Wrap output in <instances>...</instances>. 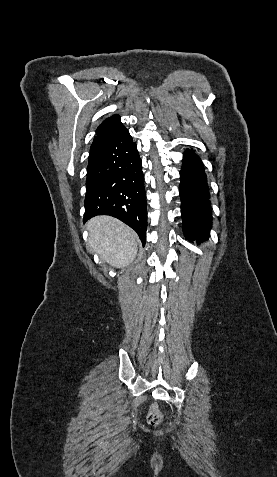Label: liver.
Segmentation results:
<instances>
[{
    "label": "liver",
    "mask_w": 277,
    "mask_h": 477,
    "mask_svg": "<svg viewBox=\"0 0 277 477\" xmlns=\"http://www.w3.org/2000/svg\"><path fill=\"white\" fill-rule=\"evenodd\" d=\"M88 246L116 268L129 266L137 255L138 237L126 224L111 216H96L86 224Z\"/></svg>",
    "instance_id": "6515ba94"
}]
</instances>
